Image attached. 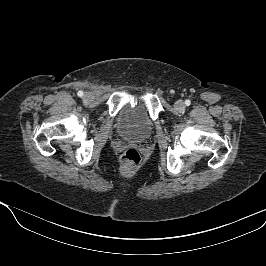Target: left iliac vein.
Masks as SVG:
<instances>
[{
	"label": "left iliac vein",
	"mask_w": 266,
	"mask_h": 266,
	"mask_svg": "<svg viewBox=\"0 0 266 266\" xmlns=\"http://www.w3.org/2000/svg\"><path fill=\"white\" fill-rule=\"evenodd\" d=\"M174 107H175L176 110L182 111L185 108V103L182 100H178V101L175 102Z\"/></svg>",
	"instance_id": "left-iliac-vein-1"
}]
</instances>
